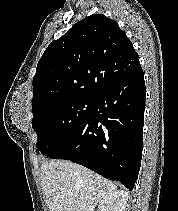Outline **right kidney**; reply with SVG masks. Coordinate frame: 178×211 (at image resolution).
Returning a JSON list of instances; mask_svg holds the SVG:
<instances>
[{
  "label": "right kidney",
  "mask_w": 178,
  "mask_h": 211,
  "mask_svg": "<svg viewBox=\"0 0 178 211\" xmlns=\"http://www.w3.org/2000/svg\"><path fill=\"white\" fill-rule=\"evenodd\" d=\"M128 201V193L119 190L105 197L98 205L100 211H125Z\"/></svg>",
  "instance_id": "ca27d5eb"
}]
</instances>
